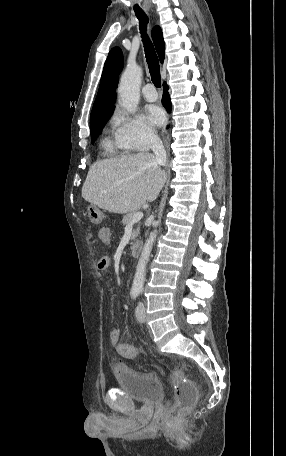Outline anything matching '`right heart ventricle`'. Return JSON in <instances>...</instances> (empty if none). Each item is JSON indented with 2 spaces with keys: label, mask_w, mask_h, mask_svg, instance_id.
<instances>
[{
  "label": "right heart ventricle",
  "mask_w": 286,
  "mask_h": 456,
  "mask_svg": "<svg viewBox=\"0 0 286 456\" xmlns=\"http://www.w3.org/2000/svg\"><path fill=\"white\" fill-rule=\"evenodd\" d=\"M102 149L105 155L111 157L125 155L132 150L123 142L116 128L105 134L102 139Z\"/></svg>",
  "instance_id": "right-heart-ventricle-1"
}]
</instances>
